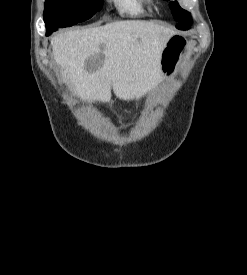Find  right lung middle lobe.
Wrapping results in <instances>:
<instances>
[{
    "instance_id": "right-lung-middle-lobe-1",
    "label": "right lung middle lobe",
    "mask_w": 247,
    "mask_h": 275,
    "mask_svg": "<svg viewBox=\"0 0 247 275\" xmlns=\"http://www.w3.org/2000/svg\"><path fill=\"white\" fill-rule=\"evenodd\" d=\"M103 6V0H46V32L69 27L91 18Z\"/></svg>"
}]
</instances>
